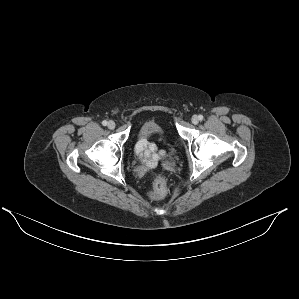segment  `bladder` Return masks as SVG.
I'll list each match as a JSON object with an SVG mask.
<instances>
[{"mask_svg": "<svg viewBox=\"0 0 299 299\" xmlns=\"http://www.w3.org/2000/svg\"><path fill=\"white\" fill-rule=\"evenodd\" d=\"M159 138L166 147V155L172 156L176 151V146L173 140L165 136L163 127L156 121L150 120L144 122L136 132V142L148 140L151 138Z\"/></svg>", "mask_w": 299, "mask_h": 299, "instance_id": "31cf9c89", "label": "bladder"}]
</instances>
